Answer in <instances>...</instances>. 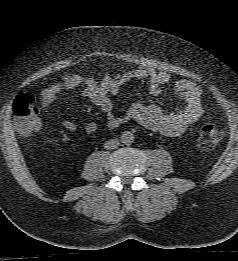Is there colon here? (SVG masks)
Instances as JSON below:
<instances>
[{
  "label": "colon",
  "mask_w": 238,
  "mask_h": 261,
  "mask_svg": "<svg viewBox=\"0 0 238 261\" xmlns=\"http://www.w3.org/2000/svg\"><path fill=\"white\" fill-rule=\"evenodd\" d=\"M14 125L18 134L28 137L40 128L39 107L32 94H22L13 105ZM222 131L214 124L204 125L199 132L198 143L204 149L215 147L222 139Z\"/></svg>",
  "instance_id": "colon-1"
}]
</instances>
